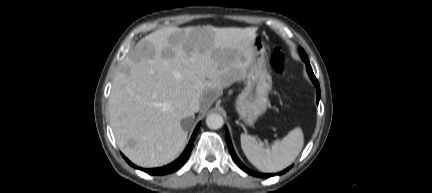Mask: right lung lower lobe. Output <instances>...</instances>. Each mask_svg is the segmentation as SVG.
Instances as JSON below:
<instances>
[{
  "label": "right lung lower lobe",
  "instance_id": "obj_1",
  "mask_svg": "<svg viewBox=\"0 0 432 193\" xmlns=\"http://www.w3.org/2000/svg\"><path fill=\"white\" fill-rule=\"evenodd\" d=\"M199 126H200V123L196 126V128H195V130L193 132V135H192V137L190 139V142L188 143L186 149L181 154V156L177 160H175L173 163H171L169 165H166V166L161 167V168L142 169V168L137 167L134 164H132L126 157H124V158L134 168L141 169V170H143L146 173L151 174V175H163V174L172 173V172L178 170L184 164V162L188 158L189 154L191 153V150H192V147H193V143H194V138H195V135H196V133L198 131Z\"/></svg>",
  "mask_w": 432,
  "mask_h": 193
}]
</instances>
